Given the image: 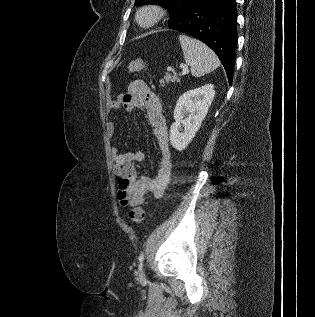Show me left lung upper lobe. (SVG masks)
I'll return each instance as SVG.
<instances>
[{
  "label": "left lung upper lobe",
  "instance_id": "left-lung-upper-lobe-1",
  "mask_svg": "<svg viewBox=\"0 0 315 317\" xmlns=\"http://www.w3.org/2000/svg\"><path fill=\"white\" fill-rule=\"evenodd\" d=\"M194 0H136L135 5L141 6L144 4H159L167 8L170 12L171 19L169 26L178 23L183 17L187 8Z\"/></svg>",
  "mask_w": 315,
  "mask_h": 317
}]
</instances>
